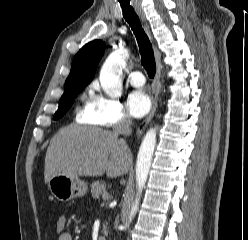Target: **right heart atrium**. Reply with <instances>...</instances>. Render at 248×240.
<instances>
[{
    "label": "right heart atrium",
    "instance_id": "right-heart-atrium-1",
    "mask_svg": "<svg viewBox=\"0 0 248 240\" xmlns=\"http://www.w3.org/2000/svg\"><path fill=\"white\" fill-rule=\"evenodd\" d=\"M89 93V99L81 113V118L85 122L103 127L130 124L124 106L118 100L105 95L98 83L89 86Z\"/></svg>",
    "mask_w": 248,
    "mask_h": 240
}]
</instances>
